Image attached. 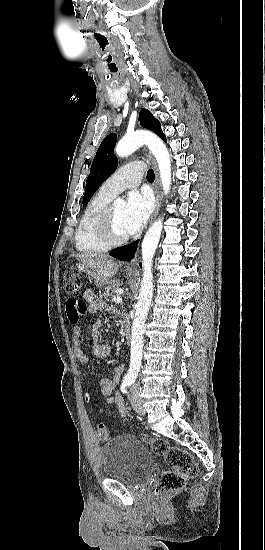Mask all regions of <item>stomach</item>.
<instances>
[{
	"mask_svg": "<svg viewBox=\"0 0 265 550\" xmlns=\"http://www.w3.org/2000/svg\"><path fill=\"white\" fill-rule=\"evenodd\" d=\"M75 269L78 270L79 272H84L88 275H91L95 279L96 283L101 287L106 286L107 283H108V279H105V278L97 275V273L91 267H89L88 265H86L85 263H83L81 261H79L75 264ZM127 274L131 275L132 272L127 271Z\"/></svg>",
	"mask_w": 265,
	"mask_h": 550,
	"instance_id": "0dacf381",
	"label": "stomach"
}]
</instances>
